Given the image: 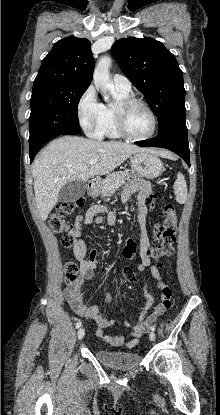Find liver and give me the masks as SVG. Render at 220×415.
Here are the masks:
<instances>
[{
    "mask_svg": "<svg viewBox=\"0 0 220 415\" xmlns=\"http://www.w3.org/2000/svg\"><path fill=\"white\" fill-rule=\"evenodd\" d=\"M150 150L119 141H97L65 136L50 142L33 163L36 206L46 220L58 201L59 191L71 181L86 182L95 175H106L132 154ZM157 154L167 156V152ZM91 159L98 163L90 165Z\"/></svg>",
    "mask_w": 220,
    "mask_h": 415,
    "instance_id": "liver-1",
    "label": "liver"
}]
</instances>
